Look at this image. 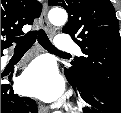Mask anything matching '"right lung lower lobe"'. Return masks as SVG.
<instances>
[{
	"label": "right lung lower lobe",
	"instance_id": "obj_1",
	"mask_svg": "<svg viewBox=\"0 0 121 113\" xmlns=\"http://www.w3.org/2000/svg\"><path fill=\"white\" fill-rule=\"evenodd\" d=\"M3 53L1 52V56ZM13 71L8 76L11 81ZM4 75L1 74V79ZM37 113L34 100L14 94L10 84L1 83V113Z\"/></svg>",
	"mask_w": 121,
	"mask_h": 113
}]
</instances>
